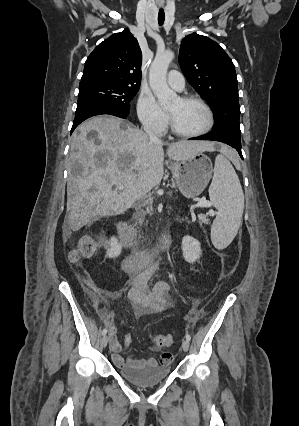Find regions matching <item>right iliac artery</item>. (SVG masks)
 <instances>
[{"mask_svg": "<svg viewBox=\"0 0 299 426\" xmlns=\"http://www.w3.org/2000/svg\"><path fill=\"white\" fill-rule=\"evenodd\" d=\"M107 334V328L103 329L102 331V335H106Z\"/></svg>", "mask_w": 299, "mask_h": 426, "instance_id": "right-iliac-artery-1", "label": "right iliac artery"}]
</instances>
